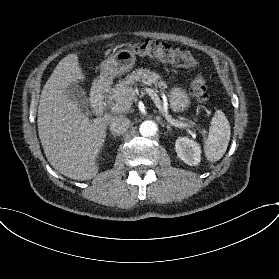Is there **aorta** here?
I'll return each instance as SVG.
<instances>
[{"instance_id": "762f6f07", "label": "aorta", "mask_w": 279, "mask_h": 279, "mask_svg": "<svg viewBox=\"0 0 279 279\" xmlns=\"http://www.w3.org/2000/svg\"><path fill=\"white\" fill-rule=\"evenodd\" d=\"M157 130V124L152 120L142 122V124L139 127L140 134L144 137H151L155 135Z\"/></svg>"}]
</instances>
